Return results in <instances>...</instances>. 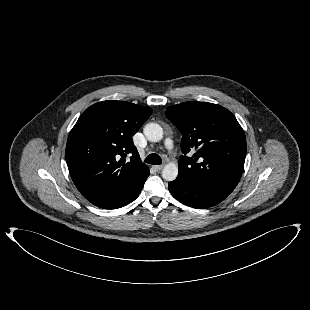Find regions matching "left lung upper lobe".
<instances>
[{"instance_id":"5c2ea615","label":"left lung upper lobe","mask_w":310,"mask_h":310,"mask_svg":"<svg viewBox=\"0 0 310 310\" xmlns=\"http://www.w3.org/2000/svg\"><path fill=\"white\" fill-rule=\"evenodd\" d=\"M165 115L182 134V152L196 151L181 157L178 177L230 194L241 178L247 149L234 115L220 105L194 101L170 106Z\"/></svg>"}]
</instances>
